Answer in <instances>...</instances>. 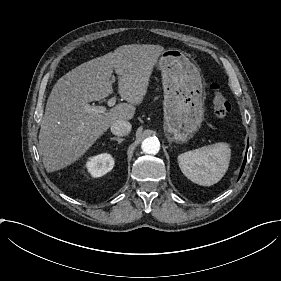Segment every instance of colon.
Masks as SVG:
<instances>
[{"label": "colon", "instance_id": "5ec220e1", "mask_svg": "<svg viewBox=\"0 0 281 281\" xmlns=\"http://www.w3.org/2000/svg\"><path fill=\"white\" fill-rule=\"evenodd\" d=\"M211 108L215 120L219 123H224L228 120L230 106L222 91L218 86L212 88Z\"/></svg>", "mask_w": 281, "mask_h": 281}]
</instances>
